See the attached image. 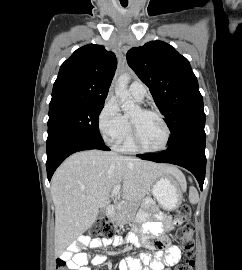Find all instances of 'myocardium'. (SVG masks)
Listing matches in <instances>:
<instances>
[{
    "instance_id": "myocardium-1",
    "label": "myocardium",
    "mask_w": 242,
    "mask_h": 270,
    "mask_svg": "<svg viewBox=\"0 0 242 270\" xmlns=\"http://www.w3.org/2000/svg\"><path fill=\"white\" fill-rule=\"evenodd\" d=\"M140 111L143 114H152V115H155L159 118V120L161 121V123L164 127V130H165V139H164L163 144L157 148H147V147L143 146L140 142V139H139V132H138L137 124L132 118H130L131 140H132V144H133L135 150L139 151V152H143V153H158V152H162V151L166 150L169 143H170L171 130H170V127H169L165 117L163 116V114L160 111H158L156 109L140 108Z\"/></svg>"
}]
</instances>
